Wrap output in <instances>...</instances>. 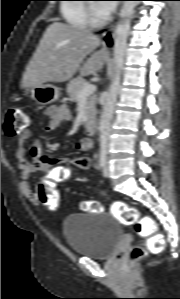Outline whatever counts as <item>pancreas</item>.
Instances as JSON below:
<instances>
[{"label": "pancreas", "mask_w": 180, "mask_h": 299, "mask_svg": "<svg viewBox=\"0 0 180 299\" xmlns=\"http://www.w3.org/2000/svg\"><path fill=\"white\" fill-rule=\"evenodd\" d=\"M87 84L88 82L82 77L74 78L68 83L66 91L72 101L77 102L79 100L78 94L83 89V87ZM95 103H96V97L89 96L87 99V106H86L88 121L92 120L96 115Z\"/></svg>", "instance_id": "pancreas-1"}]
</instances>
